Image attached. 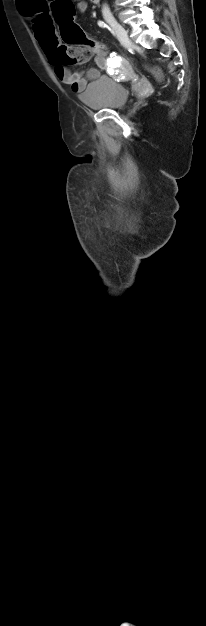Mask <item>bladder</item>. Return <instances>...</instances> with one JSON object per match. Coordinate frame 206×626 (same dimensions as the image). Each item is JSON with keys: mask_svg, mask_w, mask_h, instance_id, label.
Listing matches in <instances>:
<instances>
[{"mask_svg": "<svg viewBox=\"0 0 206 626\" xmlns=\"http://www.w3.org/2000/svg\"><path fill=\"white\" fill-rule=\"evenodd\" d=\"M80 100L93 109H118L127 103L128 91L114 79L100 76L86 86Z\"/></svg>", "mask_w": 206, "mask_h": 626, "instance_id": "1", "label": "bladder"}]
</instances>
